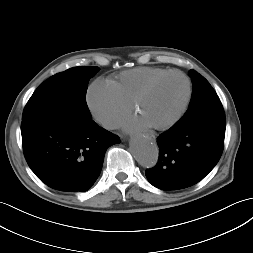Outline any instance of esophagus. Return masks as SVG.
<instances>
[{"mask_svg":"<svg viewBox=\"0 0 253 253\" xmlns=\"http://www.w3.org/2000/svg\"><path fill=\"white\" fill-rule=\"evenodd\" d=\"M147 138L149 139H152V140H155V137L153 135H150V134H146Z\"/></svg>","mask_w":253,"mask_h":253,"instance_id":"34e87169","label":"esophagus"}]
</instances>
